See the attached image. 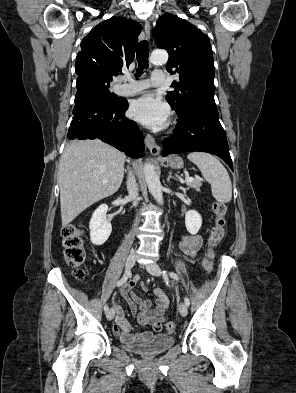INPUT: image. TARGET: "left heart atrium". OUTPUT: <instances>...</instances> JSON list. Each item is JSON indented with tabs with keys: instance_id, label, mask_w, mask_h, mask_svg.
Masks as SVG:
<instances>
[{
	"instance_id": "1",
	"label": "left heart atrium",
	"mask_w": 296,
	"mask_h": 393,
	"mask_svg": "<svg viewBox=\"0 0 296 393\" xmlns=\"http://www.w3.org/2000/svg\"><path fill=\"white\" fill-rule=\"evenodd\" d=\"M169 114L168 105L152 93L139 97L130 106V116L152 129L164 128Z\"/></svg>"
}]
</instances>
